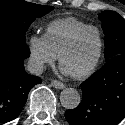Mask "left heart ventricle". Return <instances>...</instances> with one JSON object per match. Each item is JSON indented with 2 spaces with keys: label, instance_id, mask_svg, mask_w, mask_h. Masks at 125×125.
<instances>
[{
  "label": "left heart ventricle",
  "instance_id": "obj_1",
  "mask_svg": "<svg viewBox=\"0 0 125 125\" xmlns=\"http://www.w3.org/2000/svg\"><path fill=\"white\" fill-rule=\"evenodd\" d=\"M98 48V34L94 30H87L80 34L71 49L63 56L62 66L69 74H79L92 64Z\"/></svg>",
  "mask_w": 125,
  "mask_h": 125
}]
</instances>
